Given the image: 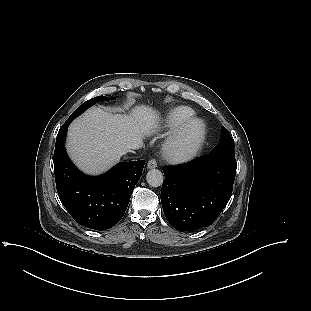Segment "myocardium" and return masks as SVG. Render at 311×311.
I'll use <instances>...</instances> for the list:
<instances>
[{"instance_id":"1","label":"myocardium","mask_w":311,"mask_h":311,"mask_svg":"<svg viewBox=\"0 0 311 311\" xmlns=\"http://www.w3.org/2000/svg\"><path fill=\"white\" fill-rule=\"evenodd\" d=\"M188 133L193 137L187 144H182L183 138ZM206 138V125L198 117H192L166 137L162 144V155L171 163H185L192 160L201 150Z\"/></svg>"}]
</instances>
